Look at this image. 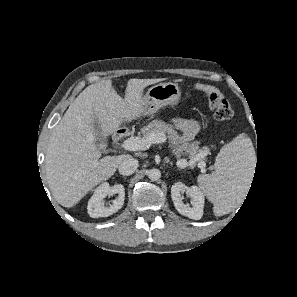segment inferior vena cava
I'll list each match as a JSON object with an SVG mask.
<instances>
[{
    "label": "inferior vena cava",
    "instance_id": "602c4592",
    "mask_svg": "<svg viewBox=\"0 0 297 297\" xmlns=\"http://www.w3.org/2000/svg\"><path fill=\"white\" fill-rule=\"evenodd\" d=\"M137 168L138 160L134 158H127L121 162L118 170L120 174L128 176L133 174Z\"/></svg>",
    "mask_w": 297,
    "mask_h": 297
}]
</instances>
